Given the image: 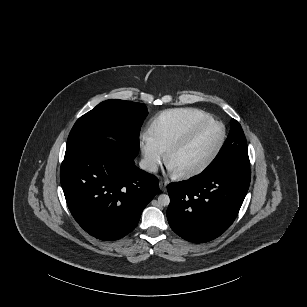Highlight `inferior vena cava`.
I'll return each instance as SVG.
<instances>
[{
	"label": "inferior vena cava",
	"instance_id": "602c4592",
	"mask_svg": "<svg viewBox=\"0 0 307 307\" xmlns=\"http://www.w3.org/2000/svg\"><path fill=\"white\" fill-rule=\"evenodd\" d=\"M139 166L141 169L149 171V172H157L158 166L154 159L144 158L139 162Z\"/></svg>",
	"mask_w": 307,
	"mask_h": 307
}]
</instances>
